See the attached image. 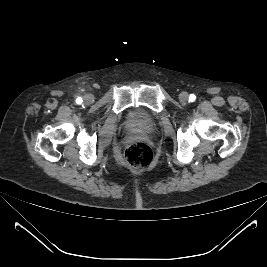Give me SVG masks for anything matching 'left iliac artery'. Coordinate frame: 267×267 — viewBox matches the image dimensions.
<instances>
[{"label": "left iliac artery", "mask_w": 267, "mask_h": 267, "mask_svg": "<svg viewBox=\"0 0 267 267\" xmlns=\"http://www.w3.org/2000/svg\"><path fill=\"white\" fill-rule=\"evenodd\" d=\"M196 99V96L194 95V94H191L190 96H189V100L190 101H194Z\"/></svg>", "instance_id": "left-iliac-artery-1"}]
</instances>
